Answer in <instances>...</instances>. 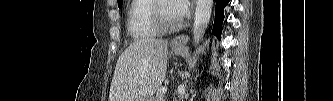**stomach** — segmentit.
Wrapping results in <instances>:
<instances>
[{
	"instance_id": "0dacf381",
	"label": "stomach",
	"mask_w": 333,
	"mask_h": 101,
	"mask_svg": "<svg viewBox=\"0 0 333 101\" xmlns=\"http://www.w3.org/2000/svg\"><path fill=\"white\" fill-rule=\"evenodd\" d=\"M173 50H174V53L176 55H181L184 52L185 48L184 47H175V46H173ZM147 101H152V100L149 99Z\"/></svg>"
}]
</instances>
